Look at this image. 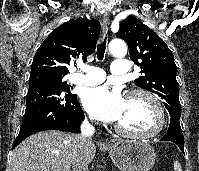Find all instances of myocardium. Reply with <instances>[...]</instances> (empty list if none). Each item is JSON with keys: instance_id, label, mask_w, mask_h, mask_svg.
<instances>
[{"instance_id": "f54148a6", "label": "myocardium", "mask_w": 199, "mask_h": 171, "mask_svg": "<svg viewBox=\"0 0 199 171\" xmlns=\"http://www.w3.org/2000/svg\"><path fill=\"white\" fill-rule=\"evenodd\" d=\"M134 96H142L151 104L155 114V126L147 131H129L115 124L116 132L122 136L135 139H148L157 136L165 126V111L161 102L154 94L142 88L132 89L126 95L127 99Z\"/></svg>"}]
</instances>
